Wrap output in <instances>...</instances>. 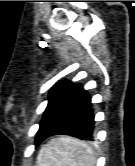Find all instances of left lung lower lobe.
Segmentation results:
<instances>
[{
    "mask_svg": "<svg viewBox=\"0 0 135 166\" xmlns=\"http://www.w3.org/2000/svg\"><path fill=\"white\" fill-rule=\"evenodd\" d=\"M94 112L91 97L80 84L54 105L49 116L40 124L35 145L52 135H70L81 140H94Z\"/></svg>",
    "mask_w": 135,
    "mask_h": 166,
    "instance_id": "0a47b994",
    "label": "left lung lower lobe"
}]
</instances>
